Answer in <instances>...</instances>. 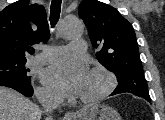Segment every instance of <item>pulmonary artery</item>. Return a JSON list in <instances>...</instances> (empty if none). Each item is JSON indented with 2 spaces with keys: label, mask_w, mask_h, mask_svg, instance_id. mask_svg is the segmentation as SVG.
<instances>
[{
  "label": "pulmonary artery",
  "mask_w": 165,
  "mask_h": 120,
  "mask_svg": "<svg viewBox=\"0 0 165 120\" xmlns=\"http://www.w3.org/2000/svg\"><path fill=\"white\" fill-rule=\"evenodd\" d=\"M86 52V43L84 41H73L67 46H46L36 60L42 63L54 62L62 59L69 54L82 55Z\"/></svg>",
  "instance_id": "pulmonary-artery-1"
}]
</instances>
